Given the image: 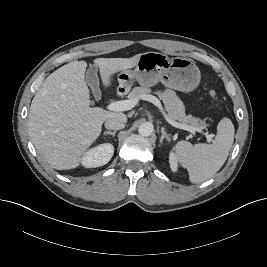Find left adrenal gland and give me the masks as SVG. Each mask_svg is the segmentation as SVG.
I'll use <instances>...</instances> for the list:
<instances>
[{
	"label": "left adrenal gland",
	"instance_id": "left-adrenal-gland-1",
	"mask_svg": "<svg viewBox=\"0 0 267 267\" xmlns=\"http://www.w3.org/2000/svg\"><path fill=\"white\" fill-rule=\"evenodd\" d=\"M166 139V141H169V135L166 133L165 128H161V137H160V143L162 144L163 140Z\"/></svg>",
	"mask_w": 267,
	"mask_h": 267
}]
</instances>
